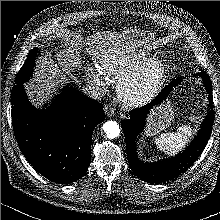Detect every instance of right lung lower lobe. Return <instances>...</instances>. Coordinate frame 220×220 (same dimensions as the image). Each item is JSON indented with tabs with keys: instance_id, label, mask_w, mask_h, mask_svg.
<instances>
[{
	"instance_id": "obj_1",
	"label": "right lung lower lobe",
	"mask_w": 220,
	"mask_h": 220,
	"mask_svg": "<svg viewBox=\"0 0 220 220\" xmlns=\"http://www.w3.org/2000/svg\"><path fill=\"white\" fill-rule=\"evenodd\" d=\"M11 103L17 143L34 169L60 184L81 178L90 165L93 130L104 121L102 105L65 87L49 107L38 110L22 83L12 88Z\"/></svg>"
}]
</instances>
